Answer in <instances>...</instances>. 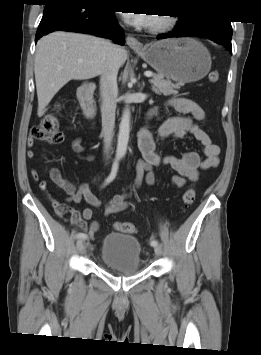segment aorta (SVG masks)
Wrapping results in <instances>:
<instances>
[{
    "label": "aorta",
    "mask_w": 261,
    "mask_h": 355,
    "mask_svg": "<svg viewBox=\"0 0 261 355\" xmlns=\"http://www.w3.org/2000/svg\"><path fill=\"white\" fill-rule=\"evenodd\" d=\"M130 117L131 112L128 106L124 109L121 122L119 125V133L117 139L116 155L118 157H124L127 152L129 134H130Z\"/></svg>",
    "instance_id": "aorta-1"
}]
</instances>
